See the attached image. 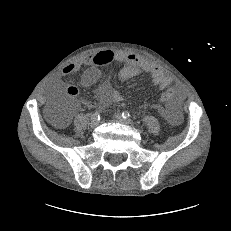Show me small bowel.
Instances as JSON below:
<instances>
[{
	"mask_svg": "<svg viewBox=\"0 0 231 231\" xmlns=\"http://www.w3.org/2000/svg\"><path fill=\"white\" fill-rule=\"evenodd\" d=\"M113 61L126 64L118 73V78L121 81H126L142 73H148L153 85L159 90H165L174 80L173 77L167 75L160 66L150 63L136 54L126 53L121 50H104L90 54L79 61L66 65L62 70V75H73L84 67L85 69L80 77V83L84 87H89L100 78L101 67ZM54 89H65L66 93L72 98L78 95V89L75 86L65 87L60 79L54 82ZM97 96L99 107H106L112 103L123 101L122 95L115 90L109 82L103 83L98 88ZM80 104L88 105L86 102H81ZM158 111L172 125H176L180 120V112L176 102H171L164 107H158ZM65 122L66 120H62L60 125H63Z\"/></svg>",
	"mask_w": 231,
	"mask_h": 231,
	"instance_id": "obj_1",
	"label": "small bowel"
}]
</instances>
